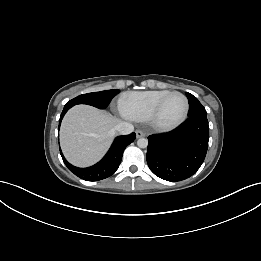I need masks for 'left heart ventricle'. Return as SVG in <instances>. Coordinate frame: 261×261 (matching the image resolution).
I'll list each match as a JSON object with an SVG mask.
<instances>
[{
    "label": "left heart ventricle",
    "instance_id": "left-heart-ventricle-1",
    "mask_svg": "<svg viewBox=\"0 0 261 261\" xmlns=\"http://www.w3.org/2000/svg\"><path fill=\"white\" fill-rule=\"evenodd\" d=\"M184 100L179 95H171L162 104L157 120L162 124L175 122L184 111Z\"/></svg>",
    "mask_w": 261,
    "mask_h": 261
}]
</instances>
